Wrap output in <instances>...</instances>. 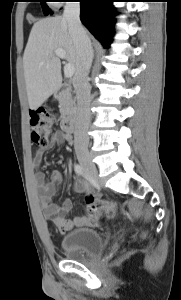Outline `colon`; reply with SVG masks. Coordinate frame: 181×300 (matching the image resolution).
I'll use <instances>...</instances> for the list:
<instances>
[{"label":"colon","instance_id":"obj_1","mask_svg":"<svg viewBox=\"0 0 181 300\" xmlns=\"http://www.w3.org/2000/svg\"><path fill=\"white\" fill-rule=\"evenodd\" d=\"M55 122L53 114L46 110H37L30 114L31 140L37 146H45L48 143L51 128ZM88 214L89 216L102 219L112 218L118 210V204L111 200L89 199ZM146 236L142 231L140 237Z\"/></svg>","mask_w":181,"mask_h":300}]
</instances>
